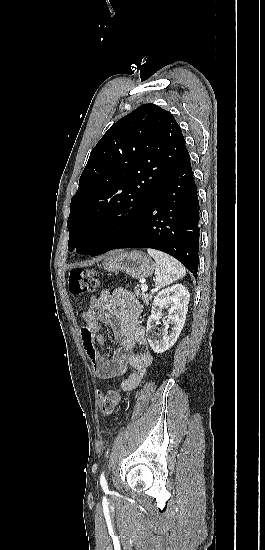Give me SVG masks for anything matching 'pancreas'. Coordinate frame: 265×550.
<instances>
[{
    "mask_svg": "<svg viewBox=\"0 0 265 550\" xmlns=\"http://www.w3.org/2000/svg\"><path fill=\"white\" fill-rule=\"evenodd\" d=\"M135 294H136L138 297L142 298V300H143V302H144L145 304H149L150 301H151L152 298H153L152 295L146 294V293H144V292H141L140 289H139V287H136V288H135Z\"/></svg>",
    "mask_w": 265,
    "mask_h": 550,
    "instance_id": "pancreas-1",
    "label": "pancreas"
}]
</instances>
